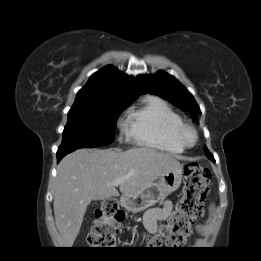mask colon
<instances>
[{"label": "colon", "instance_id": "1", "mask_svg": "<svg viewBox=\"0 0 261 261\" xmlns=\"http://www.w3.org/2000/svg\"><path fill=\"white\" fill-rule=\"evenodd\" d=\"M211 173L206 167L190 164L185 167L181 197L169 218L161 224L150 240L153 248H173L184 242L191 233L192 223L203 215L202 203L208 193ZM126 219L113 199L104 201L94 216V225L87 237L92 248H114L117 236Z\"/></svg>", "mask_w": 261, "mask_h": 261}]
</instances>
